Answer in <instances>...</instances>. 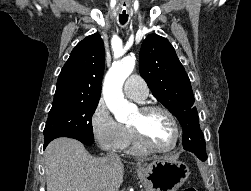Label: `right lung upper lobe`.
Here are the masks:
<instances>
[{"mask_svg": "<svg viewBox=\"0 0 251 191\" xmlns=\"http://www.w3.org/2000/svg\"><path fill=\"white\" fill-rule=\"evenodd\" d=\"M104 61V44L98 33L79 42L59 74L52 106L99 102Z\"/></svg>", "mask_w": 251, "mask_h": 191, "instance_id": "cb5924a9", "label": "right lung upper lobe"}]
</instances>
